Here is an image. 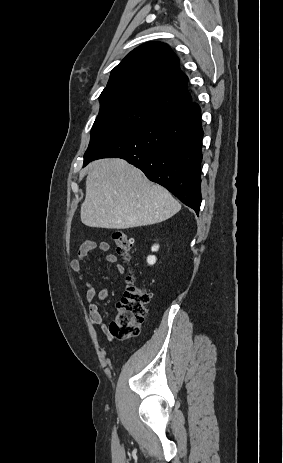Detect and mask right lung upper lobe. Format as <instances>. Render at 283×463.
<instances>
[{
	"instance_id": "1",
	"label": "right lung upper lobe",
	"mask_w": 283,
	"mask_h": 463,
	"mask_svg": "<svg viewBox=\"0 0 283 463\" xmlns=\"http://www.w3.org/2000/svg\"><path fill=\"white\" fill-rule=\"evenodd\" d=\"M187 82L169 46L149 42L131 51L112 70L101 94H125L163 112L191 101Z\"/></svg>"
}]
</instances>
